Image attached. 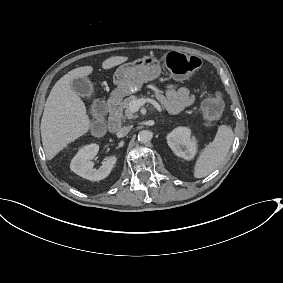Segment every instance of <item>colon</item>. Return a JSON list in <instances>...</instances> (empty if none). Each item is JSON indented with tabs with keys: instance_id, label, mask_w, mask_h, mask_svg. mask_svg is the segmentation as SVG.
Wrapping results in <instances>:
<instances>
[{
	"instance_id": "1",
	"label": "colon",
	"mask_w": 283,
	"mask_h": 283,
	"mask_svg": "<svg viewBox=\"0 0 283 283\" xmlns=\"http://www.w3.org/2000/svg\"><path fill=\"white\" fill-rule=\"evenodd\" d=\"M162 64L171 73L179 77H185L198 72L202 67L199 58L178 52H169L162 57ZM202 111L208 122L216 121L223 111V101L218 92L206 95L202 102ZM104 112V104L96 102L92 107V115L97 120ZM99 127V125H98Z\"/></svg>"
}]
</instances>
